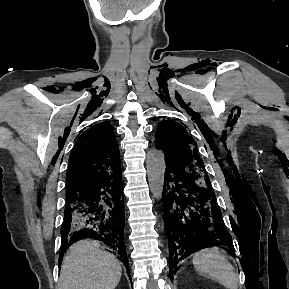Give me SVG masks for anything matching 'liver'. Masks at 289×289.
Listing matches in <instances>:
<instances>
[{"label":"liver","mask_w":289,"mask_h":289,"mask_svg":"<svg viewBox=\"0 0 289 289\" xmlns=\"http://www.w3.org/2000/svg\"><path fill=\"white\" fill-rule=\"evenodd\" d=\"M122 268L116 257L93 240L74 243L64 256L58 289H115Z\"/></svg>","instance_id":"1"}]
</instances>
